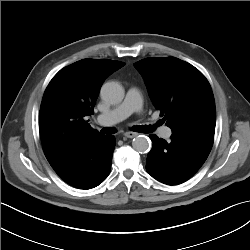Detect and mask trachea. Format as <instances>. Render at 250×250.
<instances>
[{
  "label": "trachea",
  "instance_id": "trachea-1",
  "mask_svg": "<svg viewBox=\"0 0 250 250\" xmlns=\"http://www.w3.org/2000/svg\"><path fill=\"white\" fill-rule=\"evenodd\" d=\"M153 130H154V128L152 126H147V125L137 126L134 129V131L141 132V133H150ZM101 132L105 133V134H114V133H116V129L111 128V127H104V128H102Z\"/></svg>",
  "mask_w": 250,
  "mask_h": 250
}]
</instances>
